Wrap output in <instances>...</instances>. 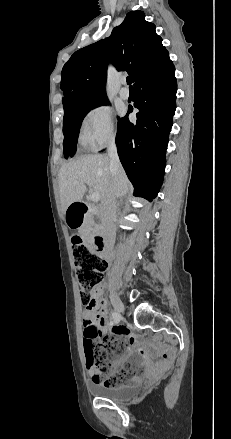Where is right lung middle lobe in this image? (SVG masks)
I'll return each mask as SVG.
<instances>
[{
    "label": "right lung middle lobe",
    "mask_w": 231,
    "mask_h": 439,
    "mask_svg": "<svg viewBox=\"0 0 231 439\" xmlns=\"http://www.w3.org/2000/svg\"><path fill=\"white\" fill-rule=\"evenodd\" d=\"M108 104L107 99L85 102L64 111L63 119V151L64 156L73 157L76 152V144L81 123L86 114L92 109Z\"/></svg>",
    "instance_id": "obj_1"
}]
</instances>
